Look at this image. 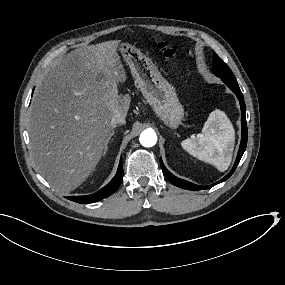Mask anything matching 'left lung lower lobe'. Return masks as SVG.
Wrapping results in <instances>:
<instances>
[{"instance_id": "left-lung-lower-lobe-1", "label": "left lung lower lobe", "mask_w": 285, "mask_h": 285, "mask_svg": "<svg viewBox=\"0 0 285 285\" xmlns=\"http://www.w3.org/2000/svg\"><path fill=\"white\" fill-rule=\"evenodd\" d=\"M223 81L236 94V96L239 99L240 105H241L242 139H241V144H240V148L238 151V155H237V159L235 161V164H234L232 170L220 181H218L212 185H208V186H199V185L193 184L191 182H188L186 180H183V179H180V178L174 176L172 173H170L166 169V167L163 164L162 159H160V164H161L163 174L175 186H178L180 188L187 189V190H204V189H209V188L227 180L234 173V171H235V169H236V167H237V165H238V163H239V161H240V159H241V157H242V155L246 149L248 133H247V123H246V117H245L246 107H245L243 95L240 91V88L238 86L236 79H225Z\"/></svg>"}]
</instances>
